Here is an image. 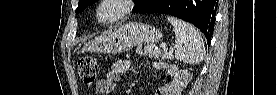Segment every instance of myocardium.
Here are the masks:
<instances>
[{
	"mask_svg": "<svg viewBox=\"0 0 277 95\" xmlns=\"http://www.w3.org/2000/svg\"><path fill=\"white\" fill-rule=\"evenodd\" d=\"M114 6V11L110 15H104V6ZM134 9L133 0H102L96 9V16L102 24L111 25L129 15Z\"/></svg>",
	"mask_w": 277,
	"mask_h": 95,
	"instance_id": "1",
	"label": "myocardium"
}]
</instances>
